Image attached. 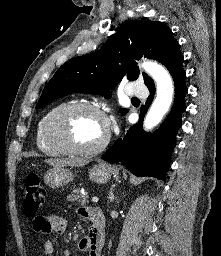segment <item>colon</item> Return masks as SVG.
Here are the masks:
<instances>
[{
	"mask_svg": "<svg viewBox=\"0 0 221 256\" xmlns=\"http://www.w3.org/2000/svg\"><path fill=\"white\" fill-rule=\"evenodd\" d=\"M46 192L37 174L31 173L25 180L23 208L28 217H35L44 204Z\"/></svg>",
	"mask_w": 221,
	"mask_h": 256,
	"instance_id": "5ec220e1",
	"label": "colon"
}]
</instances>
